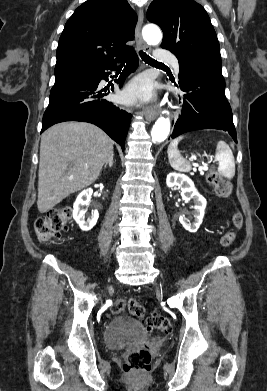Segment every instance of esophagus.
Listing matches in <instances>:
<instances>
[{
  "label": "esophagus",
  "mask_w": 267,
  "mask_h": 391,
  "mask_svg": "<svg viewBox=\"0 0 267 391\" xmlns=\"http://www.w3.org/2000/svg\"><path fill=\"white\" fill-rule=\"evenodd\" d=\"M143 18H144L143 12L140 11L138 14V21H137V25H136V29H135V38H136V41L141 49L149 50V46L143 41L142 35H141ZM143 113L149 121H152L158 116L159 111L156 107L150 106V107L145 108Z\"/></svg>",
  "instance_id": "esophagus-1"
}]
</instances>
